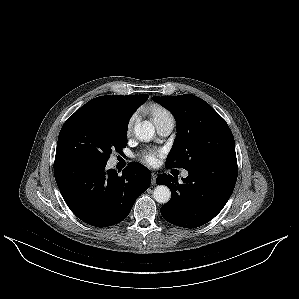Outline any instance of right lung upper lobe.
Returning <instances> with one entry per match:
<instances>
[{
    "instance_id": "1",
    "label": "right lung upper lobe",
    "mask_w": 299,
    "mask_h": 299,
    "mask_svg": "<svg viewBox=\"0 0 299 299\" xmlns=\"http://www.w3.org/2000/svg\"><path fill=\"white\" fill-rule=\"evenodd\" d=\"M148 98L147 94L127 96H100L90 100L81 108L104 109L117 113L122 117L129 118L136 109Z\"/></svg>"
}]
</instances>
